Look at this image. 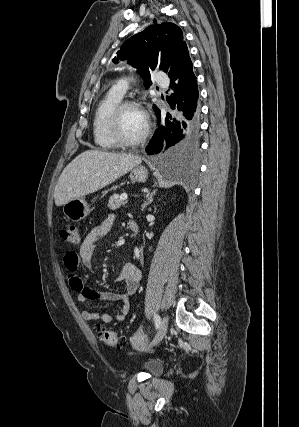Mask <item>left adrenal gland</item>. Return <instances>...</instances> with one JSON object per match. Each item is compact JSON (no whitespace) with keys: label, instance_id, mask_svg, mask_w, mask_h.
Returning a JSON list of instances; mask_svg holds the SVG:
<instances>
[{"label":"left adrenal gland","instance_id":"obj_1","mask_svg":"<svg viewBox=\"0 0 299 427\" xmlns=\"http://www.w3.org/2000/svg\"><path fill=\"white\" fill-rule=\"evenodd\" d=\"M156 191L151 192L150 194H147V200L142 205V210H144L149 204L153 202V196L155 195Z\"/></svg>","mask_w":299,"mask_h":427}]
</instances>
